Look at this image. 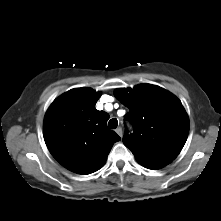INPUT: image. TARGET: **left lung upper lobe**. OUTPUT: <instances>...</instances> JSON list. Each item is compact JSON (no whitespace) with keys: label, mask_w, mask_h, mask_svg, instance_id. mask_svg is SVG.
Segmentation results:
<instances>
[{"label":"left lung upper lobe","mask_w":221,"mask_h":221,"mask_svg":"<svg viewBox=\"0 0 221 221\" xmlns=\"http://www.w3.org/2000/svg\"><path fill=\"white\" fill-rule=\"evenodd\" d=\"M115 97L129 113L133 127L123 143L142 163H170L183 148L188 132V115L180 100L169 91L151 84L115 90Z\"/></svg>","instance_id":"1"}]
</instances>
